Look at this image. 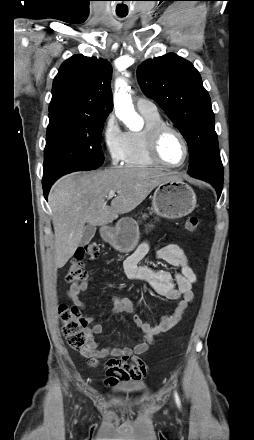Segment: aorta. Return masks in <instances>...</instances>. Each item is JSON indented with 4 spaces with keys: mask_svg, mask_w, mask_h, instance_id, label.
I'll return each mask as SVG.
<instances>
[{
    "mask_svg": "<svg viewBox=\"0 0 254 440\" xmlns=\"http://www.w3.org/2000/svg\"><path fill=\"white\" fill-rule=\"evenodd\" d=\"M114 107L116 116L130 130H138L142 126L141 117L135 112L131 95L127 91V83L119 79L115 83Z\"/></svg>",
    "mask_w": 254,
    "mask_h": 440,
    "instance_id": "762f6f07",
    "label": "aorta"
}]
</instances>
